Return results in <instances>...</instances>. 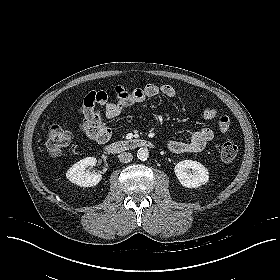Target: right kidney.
Segmentation results:
<instances>
[{"instance_id": "obj_1", "label": "right kidney", "mask_w": 280, "mask_h": 280, "mask_svg": "<svg viewBox=\"0 0 280 280\" xmlns=\"http://www.w3.org/2000/svg\"><path fill=\"white\" fill-rule=\"evenodd\" d=\"M96 158L86 157L75 163L66 173V177L70 182L80 187L96 186L102 179L101 174L85 172L89 166L96 165Z\"/></svg>"}]
</instances>
